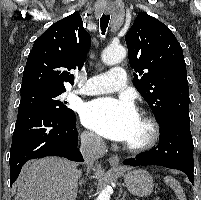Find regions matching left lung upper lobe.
<instances>
[{"label":"left lung upper lobe","instance_id":"1","mask_svg":"<svg viewBox=\"0 0 201 200\" xmlns=\"http://www.w3.org/2000/svg\"><path fill=\"white\" fill-rule=\"evenodd\" d=\"M133 83L158 123L174 112L189 113V87L182 48L170 29L139 13L125 35Z\"/></svg>","mask_w":201,"mask_h":200}]
</instances>
